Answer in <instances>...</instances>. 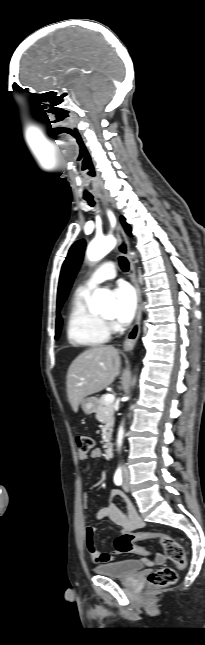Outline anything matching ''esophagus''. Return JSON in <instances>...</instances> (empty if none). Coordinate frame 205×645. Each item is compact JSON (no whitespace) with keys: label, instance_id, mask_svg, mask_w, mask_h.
Here are the masks:
<instances>
[{"label":"esophagus","instance_id":"34e87169","mask_svg":"<svg viewBox=\"0 0 205 645\" xmlns=\"http://www.w3.org/2000/svg\"><path fill=\"white\" fill-rule=\"evenodd\" d=\"M100 199L102 200V203L104 206H108V199L105 196L101 195ZM116 235L119 240V252L125 255L129 261V277L131 279V282L134 285L136 296H137V311H136L135 321L131 329L129 330L123 344L124 350L129 351L134 346L140 334V324H141V316H142L141 289L137 281L135 266L131 257L128 238L123 228L119 224H117L116 226Z\"/></svg>","mask_w":205,"mask_h":645}]
</instances>
